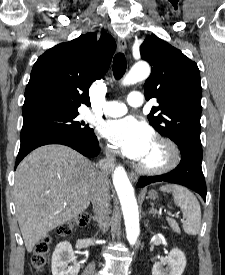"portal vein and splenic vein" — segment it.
Instances as JSON below:
<instances>
[{"instance_id":"18ae733b","label":"portal vein and splenic vein","mask_w":225,"mask_h":275,"mask_svg":"<svg viewBox=\"0 0 225 275\" xmlns=\"http://www.w3.org/2000/svg\"><path fill=\"white\" fill-rule=\"evenodd\" d=\"M169 216H171V217H178V215L176 214V215H174V214H170Z\"/></svg>"}]
</instances>
